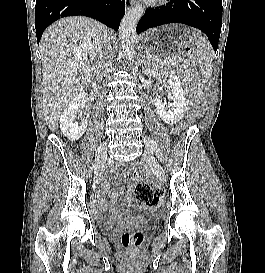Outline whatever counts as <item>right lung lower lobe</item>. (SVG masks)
Wrapping results in <instances>:
<instances>
[{
  "label": "right lung lower lobe",
  "instance_id": "98d812e1",
  "mask_svg": "<svg viewBox=\"0 0 265 273\" xmlns=\"http://www.w3.org/2000/svg\"><path fill=\"white\" fill-rule=\"evenodd\" d=\"M124 14L125 0H36L37 42L46 27L62 17L88 16L117 31Z\"/></svg>",
  "mask_w": 265,
  "mask_h": 273
}]
</instances>
